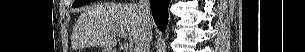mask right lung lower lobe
<instances>
[{"label":"right lung lower lobe","mask_w":305,"mask_h":52,"mask_svg":"<svg viewBox=\"0 0 305 52\" xmlns=\"http://www.w3.org/2000/svg\"><path fill=\"white\" fill-rule=\"evenodd\" d=\"M171 0H151L153 18L158 28L164 32L168 21V6Z\"/></svg>","instance_id":"1"}]
</instances>
